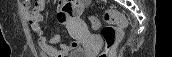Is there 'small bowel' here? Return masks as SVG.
<instances>
[{
	"label": "small bowel",
	"instance_id": "1",
	"mask_svg": "<svg viewBox=\"0 0 172 57\" xmlns=\"http://www.w3.org/2000/svg\"><path fill=\"white\" fill-rule=\"evenodd\" d=\"M88 3V0L62 1L59 5V10L56 15L58 23L61 25L71 23L73 19L76 18V13L80 12V9L75 10L73 7H83ZM23 8L26 19L32 32L37 37L38 45L43 55L48 57H65L68 53L76 51L80 47V43L77 40H72L69 43H63L60 33H56L50 39H48L41 26V22L43 21L42 12L45 8L44 0H36L34 2L24 1ZM55 44L59 45L58 49L54 47Z\"/></svg>",
	"mask_w": 172,
	"mask_h": 57
}]
</instances>
